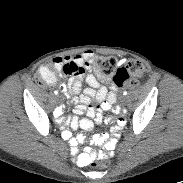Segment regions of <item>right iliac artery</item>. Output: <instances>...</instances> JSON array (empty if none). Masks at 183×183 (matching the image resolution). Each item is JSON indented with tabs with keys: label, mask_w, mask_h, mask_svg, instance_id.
<instances>
[{
	"label": "right iliac artery",
	"mask_w": 183,
	"mask_h": 183,
	"mask_svg": "<svg viewBox=\"0 0 183 183\" xmlns=\"http://www.w3.org/2000/svg\"><path fill=\"white\" fill-rule=\"evenodd\" d=\"M54 93L57 95V94H58V91H54ZM59 112H60L59 109H56V110L54 111V116L57 117V115H58Z\"/></svg>",
	"instance_id": "1"
}]
</instances>
